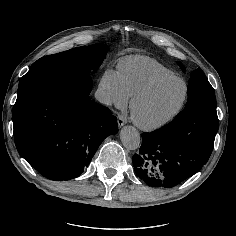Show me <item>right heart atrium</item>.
Returning <instances> with one entry per match:
<instances>
[{
    "label": "right heart atrium",
    "instance_id": "right-heart-atrium-1",
    "mask_svg": "<svg viewBox=\"0 0 236 236\" xmlns=\"http://www.w3.org/2000/svg\"><path fill=\"white\" fill-rule=\"evenodd\" d=\"M98 96L101 103L107 107L123 109L127 106L130 96L117 70L106 68L103 71L99 82Z\"/></svg>",
    "mask_w": 236,
    "mask_h": 236
}]
</instances>
